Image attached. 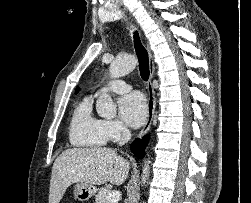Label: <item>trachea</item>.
Masks as SVG:
<instances>
[{
    "label": "trachea",
    "instance_id": "1",
    "mask_svg": "<svg viewBox=\"0 0 251 203\" xmlns=\"http://www.w3.org/2000/svg\"><path fill=\"white\" fill-rule=\"evenodd\" d=\"M134 46L139 61L140 75L144 81H147L150 75L148 52L146 48L143 46L137 32L134 33Z\"/></svg>",
    "mask_w": 251,
    "mask_h": 203
}]
</instances>
